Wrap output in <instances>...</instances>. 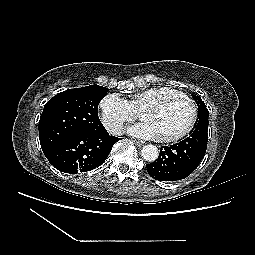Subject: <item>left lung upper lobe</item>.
Segmentation results:
<instances>
[{"label": "left lung upper lobe", "mask_w": 255, "mask_h": 255, "mask_svg": "<svg viewBox=\"0 0 255 255\" xmlns=\"http://www.w3.org/2000/svg\"><path fill=\"white\" fill-rule=\"evenodd\" d=\"M195 102L197 103L199 113H198V123L196 125V128L202 127V126H207L208 127V109L206 108L204 102L199 96H194L193 97Z\"/></svg>", "instance_id": "1"}]
</instances>
